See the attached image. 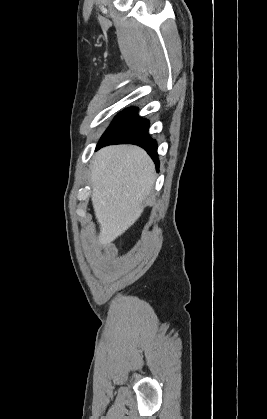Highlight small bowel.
<instances>
[{
  "instance_id": "obj_1",
  "label": "small bowel",
  "mask_w": 267,
  "mask_h": 419,
  "mask_svg": "<svg viewBox=\"0 0 267 419\" xmlns=\"http://www.w3.org/2000/svg\"><path fill=\"white\" fill-rule=\"evenodd\" d=\"M104 254L108 260H112L116 256V249L113 245H105L104 246Z\"/></svg>"
}]
</instances>
